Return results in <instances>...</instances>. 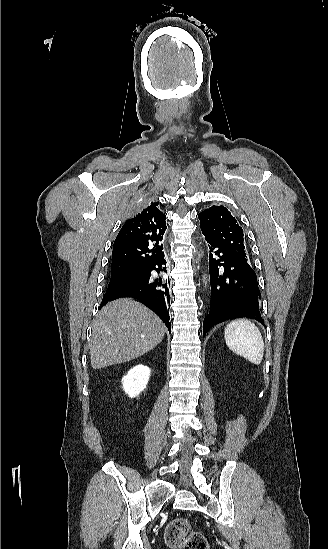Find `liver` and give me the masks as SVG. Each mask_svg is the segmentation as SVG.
I'll return each mask as SVG.
<instances>
[{"label":"liver","mask_w":328,"mask_h":549,"mask_svg":"<svg viewBox=\"0 0 328 549\" xmlns=\"http://www.w3.org/2000/svg\"><path fill=\"white\" fill-rule=\"evenodd\" d=\"M161 319L133 299L107 303L92 325L90 361L92 369L133 361L163 341Z\"/></svg>","instance_id":"liver-1"}]
</instances>
